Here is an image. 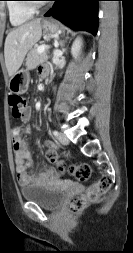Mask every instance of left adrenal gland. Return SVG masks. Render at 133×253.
<instances>
[{"label": "left adrenal gland", "mask_w": 133, "mask_h": 253, "mask_svg": "<svg viewBox=\"0 0 133 253\" xmlns=\"http://www.w3.org/2000/svg\"><path fill=\"white\" fill-rule=\"evenodd\" d=\"M59 44H60V46H61L62 48L64 47V43H63V42H60Z\"/></svg>", "instance_id": "left-adrenal-gland-1"}]
</instances>
